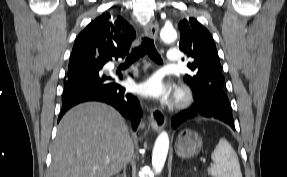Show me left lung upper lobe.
Returning a JSON list of instances; mask_svg holds the SVG:
<instances>
[{
	"label": "left lung upper lobe",
	"instance_id": "left-lung-upper-lobe-1",
	"mask_svg": "<svg viewBox=\"0 0 287 177\" xmlns=\"http://www.w3.org/2000/svg\"><path fill=\"white\" fill-rule=\"evenodd\" d=\"M178 28L179 48L193 58V61L187 64L193 73L185 75L184 81L192 88L198 102L209 103L214 92L225 94V80L213 38L195 18H184L179 22Z\"/></svg>",
	"mask_w": 287,
	"mask_h": 177
}]
</instances>
